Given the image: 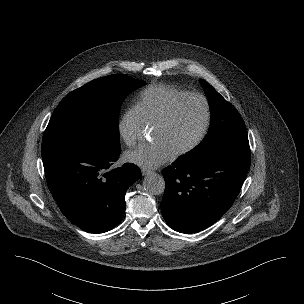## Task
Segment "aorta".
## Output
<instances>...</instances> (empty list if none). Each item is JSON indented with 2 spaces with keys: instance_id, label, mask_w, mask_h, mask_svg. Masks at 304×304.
Segmentation results:
<instances>
[{
  "instance_id": "obj_1",
  "label": "aorta",
  "mask_w": 304,
  "mask_h": 304,
  "mask_svg": "<svg viewBox=\"0 0 304 304\" xmlns=\"http://www.w3.org/2000/svg\"><path fill=\"white\" fill-rule=\"evenodd\" d=\"M143 187L151 195H160L165 190L164 178L156 173L147 175L143 180Z\"/></svg>"
}]
</instances>
